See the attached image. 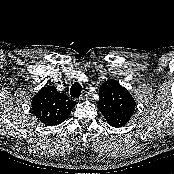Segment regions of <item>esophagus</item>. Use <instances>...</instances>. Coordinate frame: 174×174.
I'll return each mask as SVG.
<instances>
[{
	"mask_svg": "<svg viewBox=\"0 0 174 174\" xmlns=\"http://www.w3.org/2000/svg\"><path fill=\"white\" fill-rule=\"evenodd\" d=\"M87 99H88V94H87V92H84V93L80 96V98H79L80 101H84V100H87Z\"/></svg>",
	"mask_w": 174,
	"mask_h": 174,
	"instance_id": "34e87169",
	"label": "esophagus"
}]
</instances>
